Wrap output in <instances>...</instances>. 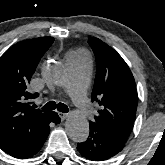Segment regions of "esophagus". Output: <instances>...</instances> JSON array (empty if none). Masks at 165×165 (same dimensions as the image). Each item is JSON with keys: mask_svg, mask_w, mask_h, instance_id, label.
Returning <instances> with one entry per match:
<instances>
[{"mask_svg": "<svg viewBox=\"0 0 165 165\" xmlns=\"http://www.w3.org/2000/svg\"><path fill=\"white\" fill-rule=\"evenodd\" d=\"M59 116H60L61 120L63 121V120H65L68 117V114L59 112Z\"/></svg>", "mask_w": 165, "mask_h": 165, "instance_id": "1", "label": "esophagus"}]
</instances>
